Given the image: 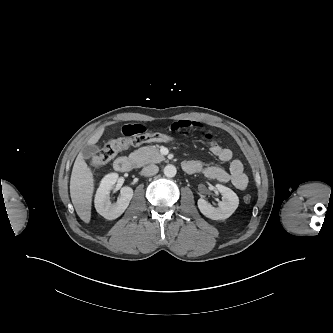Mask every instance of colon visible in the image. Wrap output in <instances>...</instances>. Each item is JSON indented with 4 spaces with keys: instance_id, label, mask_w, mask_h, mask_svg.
<instances>
[{
    "instance_id": "1",
    "label": "colon",
    "mask_w": 333,
    "mask_h": 333,
    "mask_svg": "<svg viewBox=\"0 0 333 333\" xmlns=\"http://www.w3.org/2000/svg\"><path fill=\"white\" fill-rule=\"evenodd\" d=\"M151 142H161L165 144H177L178 139L168 133H160V132H153V133H143L138 136L134 137H121L117 139H113L108 141L104 147L94 155L90 163L93 166H101L108 163L111 159H113L119 152L122 150L130 147V146H138L144 143H151ZM251 195H245L244 201L246 203L251 202Z\"/></svg>"
}]
</instances>
